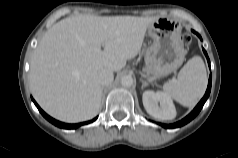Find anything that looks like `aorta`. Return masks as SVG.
Wrapping results in <instances>:
<instances>
[{
	"label": "aorta",
	"mask_w": 238,
	"mask_h": 158,
	"mask_svg": "<svg viewBox=\"0 0 238 158\" xmlns=\"http://www.w3.org/2000/svg\"><path fill=\"white\" fill-rule=\"evenodd\" d=\"M121 84L124 87H131L133 85V78L130 75H125L121 78Z\"/></svg>",
	"instance_id": "1"
}]
</instances>
